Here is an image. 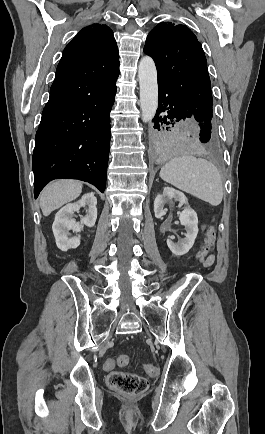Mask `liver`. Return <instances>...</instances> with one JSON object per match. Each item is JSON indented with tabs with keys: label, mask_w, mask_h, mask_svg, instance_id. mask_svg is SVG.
Returning a JSON list of instances; mask_svg holds the SVG:
<instances>
[{
	"label": "liver",
	"mask_w": 265,
	"mask_h": 434,
	"mask_svg": "<svg viewBox=\"0 0 265 434\" xmlns=\"http://www.w3.org/2000/svg\"><path fill=\"white\" fill-rule=\"evenodd\" d=\"M82 192L81 182L77 180H57L50 182L39 196L43 216H49L53 210H58L64 204L76 200Z\"/></svg>",
	"instance_id": "obj_1"
}]
</instances>
